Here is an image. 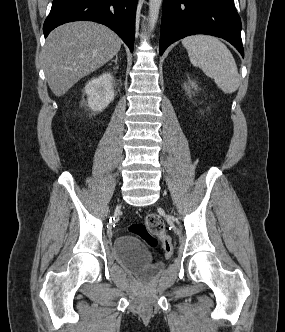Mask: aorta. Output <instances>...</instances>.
I'll return each mask as SVG.
<instances>
[{"label":"aorta","instance_id":"762f6f07","mask_svg":"<svg viewBox=\"0 0 285 332\" xmlns=\"http://www.w3.org/2000/svg\"><path fill=\"white\" fill-rule=\"evenodd\" d=\"M162 0H149V29L152 31L157 23Z\"/></svg>","mask_w":285,"mask_h":332}]
</instances>
